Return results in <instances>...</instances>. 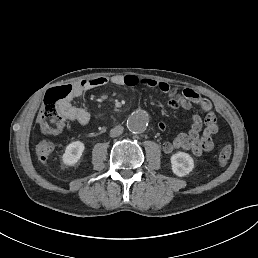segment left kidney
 Here are the masks:
<instances>
[{
  "mask_svg": "<svg viewBox=\"0 0 258 258\" xmlns=\"http://www.w3.org/2000/svg\"><path fill=\"white\" fill-rule=\"evenodd\" d=\"M173 171L178 176H184L193 169L192 158L185 153H177L172 157Z\"/></svg>",
  "mask_w": 258,
  "mask_h": 258,
  "instance_id": "5707ae66",
  "label": "left kidney"
}]
</instances>
